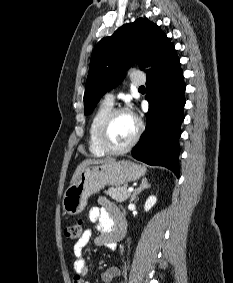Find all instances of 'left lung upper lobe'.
Masks as SVG:
<instances>
[{"instance_id":"5c2ea615","label":"left lung upper lobe","mask_w":233,"mask_h":283,"mask_svg":"<svg viewBox=\"0 0 233 283\" xmlns=\"http://www.w3.org/2000/svg\"><path fill=\"white\" fill-rule=\"evenodd\" d=\"M172 46L161 29L144 18L125 24L113 35L101 39L91 55L84 94L85 115L91 114L99 99L120 83L131 63L142 57V67L152 65L146 70L148 73Z\"/></svg>"}]
</instances>
